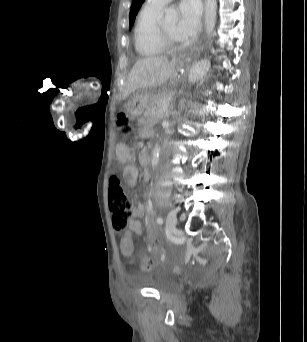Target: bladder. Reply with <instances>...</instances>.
Returning <instances> with one entry per match:
<instances>
[{
  "label": "bladder",
  "instance_id": "bladder-1",
  "mask_svg": "<svg viewBox=\"0 0 307 342\" xmlns=\"http://www.w3.org/2000/svg\"><path fill=\"white\" fill-rule=\"evenodd\" d=\"M176 282L174 277L161 270L153 272L145 281V286L159 292H167L174 288Z\"/></svg>",
  "mask_w": 307,
  "mask_h": 342
}]
</instances>
